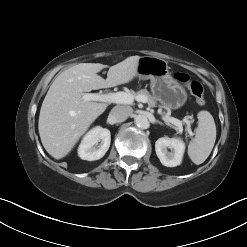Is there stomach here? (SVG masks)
<instances>
[{
	"label": "stomach",
	"mask_w": 247,
	"mask_h": 247,
	"mask_svg": "<svg viewBox=\"0 0 247 247\" xmlns=\"http://www.w3.org/2000/svg\"><path fill=\"white\" fill-rule=\"evenodd\" d=\"M137 76L141 80H150L153 98L164 108L179 109L187 101L185 88L172 77L166 60L154 56L140 57Z\"/></svg>",
	"instance_id": "obj_1"
}]
</instances>
